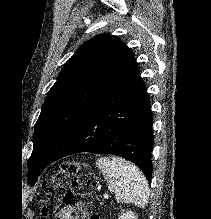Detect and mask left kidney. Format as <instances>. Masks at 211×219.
Here are the masks:
<instances>
[{
  "instance_id": "5707ae66",
  "label": "left kidney",
  "mask_w": 211,
  "mask_h": 219,
  "mask_svg": "<svg viewBox=\"0 0 211 219\" xmlns=\"http://www.w3.org/2000/svg\"><path fill=\"white\" fill-rule=\"evenodd\" d=\"M118 219H137V216L134 212L128 211V212L121 213V215H119Z\"/></svg>"
}]
</instances>
